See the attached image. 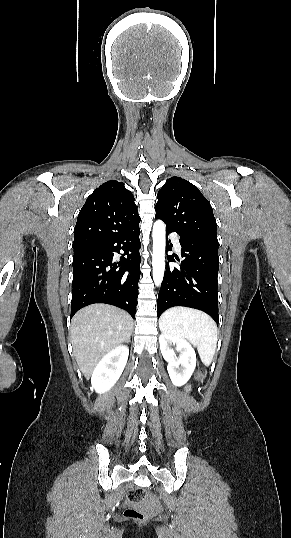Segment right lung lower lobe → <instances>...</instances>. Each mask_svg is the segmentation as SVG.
Returning <instances> with one entry per match:
<instances>
[{
  "label": "right lung lower lobe",
  "instance_id": "right-lung-lower-lobe-1",
  "mask_svg": "<svg viewBox=\"0 0 291 538\" xmlns=\"http://www.w3.org/2000/svg\"><path fill=\"white\" fill-rule=\"evenodd\" d=\"M139 234L138 226L105 243L74 251L71 317L94 303L117 306L135 317L141 261ZM121 249L124 254L117 265L113 256Z\"/></svg>",
  "mask_w": 291,
  "mask_h": 538
}]
</instances>
